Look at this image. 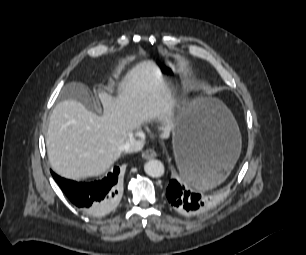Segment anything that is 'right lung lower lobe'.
<instances>
[{"label":"right lung lower lobe","instance_id":"obj_1","mask_svg":"<svg viewBox=\"0 0 306 255\" xmlns=\"http://www.w3.org/2000/svg\"><path fill=\"white\" fill-rule=\"evenodd\" d=\"M118 167L102 180L90 183H78L61 178L51 172L67 198L82 211L93 215L102 216L117 205L120 198V182Z\"/></svg>","mask_w":306,"mask_h":255}]
</instances>
